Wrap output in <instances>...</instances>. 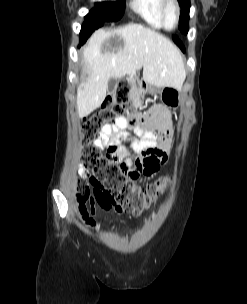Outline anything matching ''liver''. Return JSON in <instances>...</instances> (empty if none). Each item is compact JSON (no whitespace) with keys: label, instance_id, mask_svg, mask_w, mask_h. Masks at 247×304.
Wrapping results in <instances>:
<instances>
[{"label":"liver","instance_id":"6515ba94","mask_svg":"<svg viewBox=\"0 0 247 304\" xmlns=\"http://www.w3.org/2000/svg\"><path fill=\"white\" fill-rule=\"evenodd\" d=\"M83 81L77 90V110L83 118L100 107L110 78L134 76L155 87L181 89L186 78L183 58L165 36L141 24L99 29L83 49Z\"/></svg>","mask_w":247,"mask_h":304}]
</instances>
